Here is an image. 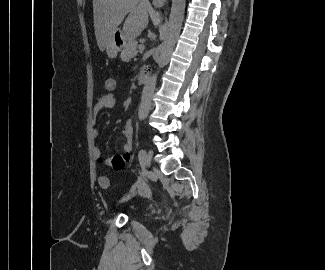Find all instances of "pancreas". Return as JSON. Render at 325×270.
<instances>
[{"mask_svg":"<svg viewBox=\"0 0 325 270\" xmlns=\"http://www.w3.org/2000/svg\"><path fill=\"white\" fill-rule=\"evenodd\" d=\"M137 47V41H135L134 39L128 40V42L124 44V49L121 53L122 61L128 62L130 59L135 57L137 55Z\"/></svg>","mask_w":325,"mask_h":270,"instance_id":"obj_1","label":"pancreas"}]
</instances>
